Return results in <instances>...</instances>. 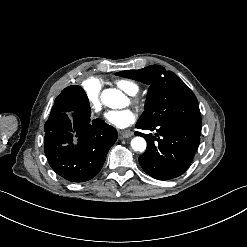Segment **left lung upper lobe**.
<instances>
[{"label": "left lung upper lobe", "mask_w": 247, "mask_h": 247, "mask_svg": "<svg viewBox=\"0 0 247 247\" xmlns=\"http://www.w3.org/2000/svg\"><path fill=\"white\" fill-rule=\"evenodd\" d=\"M150 85L145 111L136 125L183 123L201 129L198 101L192 90L173 72L160 65L116 73Z\"/></svg>", "instance_id": "1"}]
</instances>
